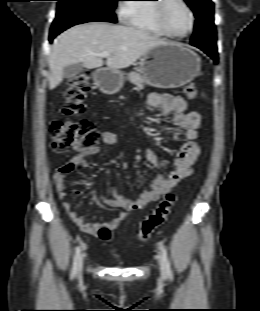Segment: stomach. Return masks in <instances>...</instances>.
Returning a JSON list of instances; mask_svg holds the SVG:
<instances>
[{"label": "stomach", "instance_id": "stomach-1", "mask_svg": "<svg viewBox=\"0 0 260 311\" xmlns=\"http://www.w3.org/2000/svg\"><path fill=\"white\" fill-rule=\"evenodd\" d=\"M201 70L200 57L178 43H166L153 47L140 60V72L146 83L159 88H177L197 77ZM95 82L106 94L120 91L124 75L119 70L101 69Z\"/></svg>", "mask_w": 260, "mask_h": 311}]
</instances>
